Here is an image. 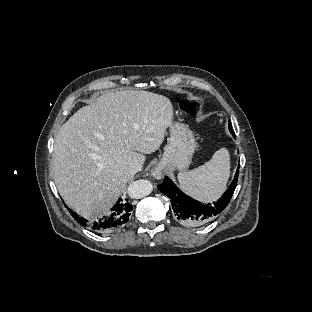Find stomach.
Masks as SVG:
<instances>
[{
  "instance_id": "0dacf381",
  "label": "stomach",
  "mask_w": 312,
  "mask_h": 312,
  "mask_svg": "<svg viewBox=\"0 0 312 312\" xmlns=\"http://www.w3.org/2000/svg\"><path fill=\"white\" fill-rule=\"evenodd\" d=\"M170 139L159 166L167 171H184L190 165L196 148L192 132L182 123L174 122L169 126Z\"/></svg>"
}]
</instances>
